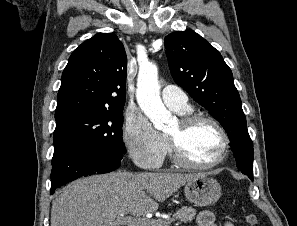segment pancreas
Listing matches in <instances>:
<instances>
[{"label":"pancreas","mask_w":297,"mask_h":226,"mask_svg":"<svg viewBox=\"0 0 297 226\" xmlns=\"http://www.w3.org/2000/svg\"><path fill=\"white\" fill-rule=\"evenodd\" d=\"M196 215V209L192 207H182L176 211L172 218L167 220L156 219L151 226H169L173 221L178 220L179 223L192 222Z\"/></svg>","instance_id":"obj_1"}]
</instances>
